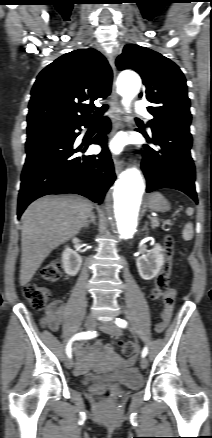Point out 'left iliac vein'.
I'll use <instances>...</instances> for the list:
<instances>
[{
	"label": "left iliac vein",
	"mask_w": 212,
	"mask_h": 438,
	"mask_svg": "<svg viewBox=\"0 0 212 438\" xmlns=\"http://www.w3.org/2000/svg\"><path fill=\"white\" fill-rule=\"evenodd\" d=\"M99 327L102 331L112 335V336H116L119 337L122 335L121 330L112 322V321H107V322H103L99 324ZM140 366L141 368L145 369L148 366V361L145 357H143L140 360Z\"/></svg>",
	"instance_id": "left-iliac-vein-1"
}]
</instances>
